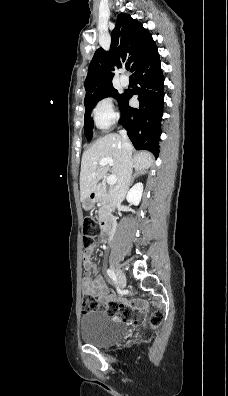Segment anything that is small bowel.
<instances>
[{"instance_id":"1","label":"small bowel","mask_w":228,"mask_h":396,"mask_svg":"<svg viewBox=\"0 0 228 396\" xmlns=\"http://www.w3.org/2000/svg\"><path fill=\"white\" fill-rule=\"evenodd\" d=\"M93 250L94 246L91 245L83 257V267L85 269V275L82 280L83 293L96 296L102 303L105 304L121 301L122 303L129 304L136 311V313L140 314L141 309L146 306L145 302L122 300L109 292L103 277H91V274L97 271V268L91 259ZM140 321L141 317L138 316L136 319L132 320V323L138 324Z\"/></svg>"}]
</instances>
